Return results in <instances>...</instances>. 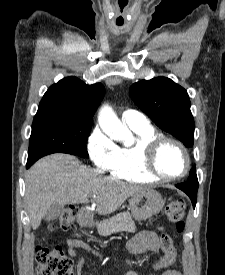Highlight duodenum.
<instances>
[{"instance_id":"obj_1","label":"duodenum","mask_w":225,"mask_h":275,"mask_svg":"<svg viewBox=\"0 0 225 275\" xmlns=\"http://www.w3.org/2000/svg\"><path fill=\"white\" fill-rule=\"evenodd\" d=\"M87 213H88L87 209H81L78 214V221L81 223L85 222Z\"/></svg>"}]
</instances>
